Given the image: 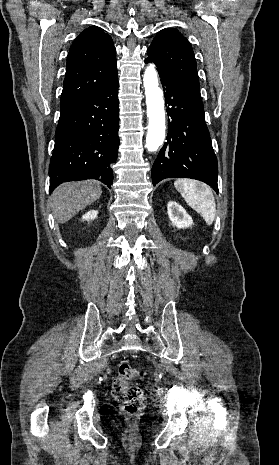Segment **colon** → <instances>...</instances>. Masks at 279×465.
I'll return each instance as SVG.
<instances>
[{"label":"colon","instance_id":"5ec220e1","mask_svg":"<svg viewBox=\"0 0 279 465\" xmlns=\"http://www.w3.org/2000/svg\"><path fill=\"white\" fill-rule=\"evenodd\" d=\"M144 372L132 367L128 363H121L118 374L114 378L113 394L121 409L128 415H136L146 407V397L141 388L131 385L133 378H144Z\"/></svg>","mask_w":279,"mask_h":465}]
</instances>
